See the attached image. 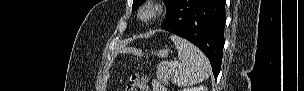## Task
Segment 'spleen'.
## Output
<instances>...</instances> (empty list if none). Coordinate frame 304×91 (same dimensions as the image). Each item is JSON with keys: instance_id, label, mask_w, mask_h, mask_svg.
I'll use <instances>...</instances> for the list:
<instances>
[{"instance_id": "1", "label": "spleen", "mask_w": 304, "mask_h": 91, "mask_svg": "<svg viewBox=\"0 0 304 91\" xmlns=\"http://www.w3.org/2000/svg\"><path fill=\"white\" fill-rule=\"evenodd\" d=\"M171 40L178 50L179 59L173 83L185 87L206 80L211 73V66L204 53L178 36H171Z\"/></svg>"}]
</instances>
